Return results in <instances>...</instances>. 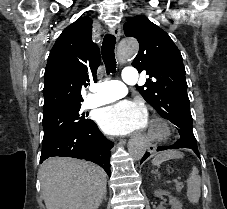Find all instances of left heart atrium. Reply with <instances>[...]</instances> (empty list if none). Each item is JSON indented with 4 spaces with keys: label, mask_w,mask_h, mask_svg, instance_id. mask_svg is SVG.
Masks as SVG:
<instances>
[{
    "label": "left heart atrium",
    "mask_w": 227,
    "mask_h": 209,
    "mask_svg": "<svg viewBox=\"0 0 227 209\" xmlns=\"http://www.w3.org/2000/svg\"><path fill=\"white\" fill-rule=\"evenodd\" d=\"M97 122L108 134L129 135L147 126L148 113L140 99H123L101 109Z\"/></svg>",
    "instance_id": "obj_1"
}]
</instances>
